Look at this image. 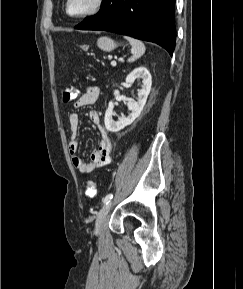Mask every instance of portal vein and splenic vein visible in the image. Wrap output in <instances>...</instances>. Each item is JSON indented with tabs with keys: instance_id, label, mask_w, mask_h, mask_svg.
I'll return each instance as SVG.
<instances>
[{
	"instance_id": "portal-vein-and-splenic-vein-1",
	"label": "portal vein and splenic vein",
	"mask_w": 243,
	"mask_h": 289,
	"mask_svg": "<svg viewBox=\"0 0 243 289\" xmlns=\"http://www.w3.org/2000/svg\"><path fill=\"white\" fill-rule=\"evenodd\" d=\"M111 65H112V66H116V61H114V60L111 61Z\"/></svg>"
}]
</instances>
